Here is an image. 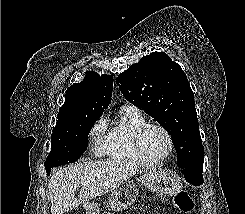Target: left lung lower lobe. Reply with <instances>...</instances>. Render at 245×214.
<instances>
[{
    "label": "left lung lower lobe",
    "mask_w": 245,
    "mask_h": 214,
    "mask_svg": "<svg viewBox=\"0 0 245 214\" xmlns=\"http://www.w3.org/2000/svg\"><path fill=\"white\" fill-rule=\"evenodd\" d=\"M203 164L185 168L181 171L185 175V179L192 185H200L203 181L202 176Z\"/></svg>",
    "instance_id": "left-lung-lower-lobe-1"
}]
</instances>
